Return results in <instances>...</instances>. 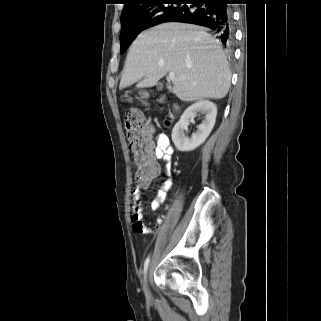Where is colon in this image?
Instances as JSON below:
<instances>
[{"label":"colon","mask_w":321,"mask_h":321,"mask_svg":"<svg viewBox=\"0 0 321 321\" xmlns=\"http://www.w3.org/2000/svg\"><path fill=\"white\" fill-rule=\"evenodd\" d=\"M125 130L135 178L148 181L156 174V166L149 154L150 126L140 110L130 109L125 114Z\"/></svg>","instance_id":"1"}]
</instances>
